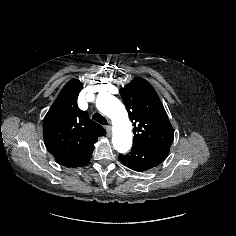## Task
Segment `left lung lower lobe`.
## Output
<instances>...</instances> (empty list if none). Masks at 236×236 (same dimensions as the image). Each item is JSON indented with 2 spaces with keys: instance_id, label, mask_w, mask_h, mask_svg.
I'll list each match as a JSON object with an SVG mask.
<instances>
[{
  "instance_id": "1",
  "label": "left lung lower lobe",
  "mask_w": 236,
  "mask_h": 236,
  "mask_svg": "<svg viewBox=\"0 0 236 236\" xmlns=\"http://www.w3.org/2000/svg\"><path fill=\"white\" fill-rule=\"evenodd\" d=\"M167 147L133 146L131 152L119 155L120 161L130 169L138 172L150 170L158 166L168 156Z\"/></svg>"
}]
</instances>
